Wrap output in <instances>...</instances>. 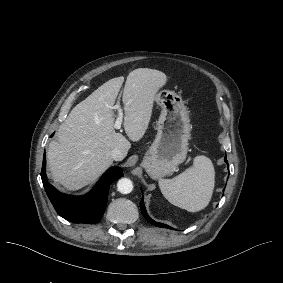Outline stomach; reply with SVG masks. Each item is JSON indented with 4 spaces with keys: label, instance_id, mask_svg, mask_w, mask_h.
I'll return each mask as SVG.
<instances>
[{
    "label": "stomach",
    "instance_id": "0dacf381",
    "mask_svg": "<svg viewBox=\"0 0 283 283\" xmlns=\"http://www.w3.org/2000/svg\"><path fill=\"white\" fill-rule=\"evenodd\" d=\"M153 100L160 106L161 113L157 135L146 153L143 167L157 179L173 173L185 161L191 125L183 98L174 90L159 89Z\"/></svg>",
    "mask_w": 283,
    "mask_h": 283
}]
</instances>
